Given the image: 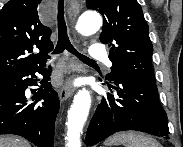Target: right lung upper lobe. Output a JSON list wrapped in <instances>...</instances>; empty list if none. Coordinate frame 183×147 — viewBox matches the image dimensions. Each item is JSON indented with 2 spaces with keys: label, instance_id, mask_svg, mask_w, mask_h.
Instances as JSON below:
<instances>
[{
  "label": "right lung upper lobe",
  "instance_id": "1",
  "mask_svg": "<svg viewBox=\"0 0 183 147\" xmlns=\"http://www.w3.org/2000/svg\"><path fill=\"white\" fill-rule=\"evenodd\" d=\"M41 0H10L0 11V79L46 63L51 29L38 16ZM39 53L34 54L33 49Z\"/></svg>",
  "mask_w": 183,
  "mask_h": 147
}]
</instances>
